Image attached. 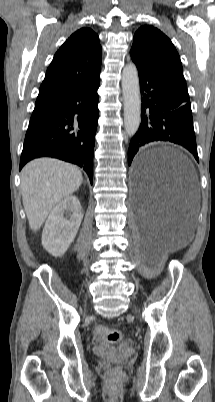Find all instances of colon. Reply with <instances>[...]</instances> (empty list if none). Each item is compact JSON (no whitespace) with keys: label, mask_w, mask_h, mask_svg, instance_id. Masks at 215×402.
<instances>
[{"label":"colon","mask_w":215,"mask_h":402,"mask_svg":"<svg viewBox=\"0 0 215 402\" xmlns=\"http://www.w3.org/2000/svg\"><path fill=\"white\" fill-rule=\"evenodd\" d=\"M95 334L111 344L118 343L122 339V333L119 330L110 329L103 325H98L95 328Z\"/></svg>","instance_id":"colon-1"}]
</instances>
